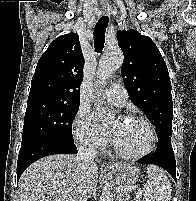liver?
Returning <instances> with one entry per match:
<instances>
[{"label":"liver","mask_w":196,"mask_h":201,"mask_svg":"<svg viewBox=\"0 0 196 201\" xmlns=\"http://www.w3.org/2000/svg\"><path fill=\"white\" fill-rule=\"evenodd\" d=\"M97 184L94 162L80 165L74 155L57 154L41 158L25 170L18 196L20 201H87L95 195Z\"/></svg>","instance_id":"liver-1"}]
</instances>
